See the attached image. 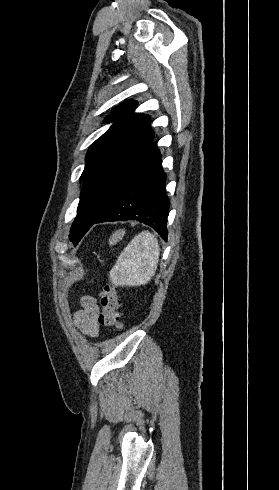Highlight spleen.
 <instances>
[{
    "label": "spleen",
    "mask_w": 279,
    "mask_h": 490,
    "mask_svg": "<svg viewBox=\"0 0 279 490\" xmlns=\"http://www.w3.org/2000/svg\"><path fill=\"white\" fill-rule=\"evenodd\" d=\"M124 230H117L113 234L110 244L122 240ZM160 246L154 234L145 230L133 238L132 242L124 248L115 266L110 270V280L114 286H145L153 276L158 266Z\"/></svg>",
    "instance_id": "spleen-1"
}]
</instances>
